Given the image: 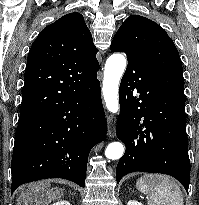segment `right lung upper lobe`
<instances>
[{"label":"right lung upper lobe","instance_id":"right-lung-upper-lobe-1","mask_svg":"<svg viewBox=\"0 0 199 205\" xmlns=\"http://www.w3.org/2000/svg\"><path fill=\"white\" fill-rule=\"evenodd\" d=\"M92 35L78 12L45 27L32 44L24 74L19 120L56 104L97 78Z\"/></svg>","mask_w":199,"mask_h":205}]
</instances>
